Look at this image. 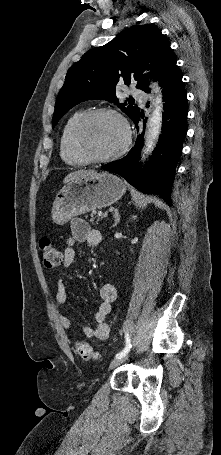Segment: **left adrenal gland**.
Returning <instances> with one entry per match:
<instances>
[{
	"mask_svg": "<svg viewBox=\"0 0 221 455\" xmlns=\"http://www.w3.org/2000/svg\"><path fill=\"white\" fill-rule=\"evenodd\" d=\"M114 217V224L113 227L117 226V224L120 222V215H119V210L116 209L113 214Z\"/></svg>",
	"mask_w": 221,
	"mask_h": 455,
	"instance_id": "1",
	"label": "left adrenal gland"
}]
</instances>
